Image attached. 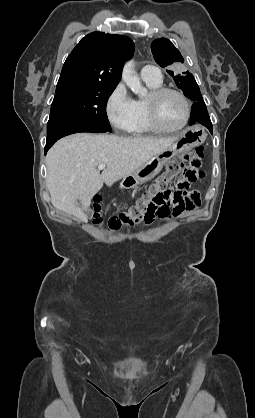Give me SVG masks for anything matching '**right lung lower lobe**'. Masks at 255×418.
I'll use <instances>...</instances> for the list:
<instances>
[{
	"mask_svg": "<svg viewBox=\"0 0 255 418\" xmlns=\"http://www.w3.org/2000/svg\"><path fill=\"white\" fill-rule=\"evenodd\" d=\"M79 132L105 133L109 131L92 123L75 120H58L48 123L45 154L58 139Z\"/></svg>",
	"mask_w": 255,
	"mask_h": 418,
	"instance_id": "obj_1",
	"label": "right lung lower lobe"
}]
</instances>
